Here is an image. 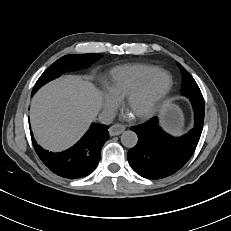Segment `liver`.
Segmentation results:
<instances>
[{"instance_id": "6515ba94", "label": "liver", "mask_w": 231, "mask_h": 231, "mask_svg": "<svg viewBox=\"0 0 231 231\" xmlns=\"http://www.w3.org/2000/svg\"><path fill=\"white\" fill-rule=\"evenodd\" d=\"M100 107L101 97L91 82L73 75L52 81L31 102L35 138L50 151L67 149L86 132Z\"/></svg>"}]
</instances>
